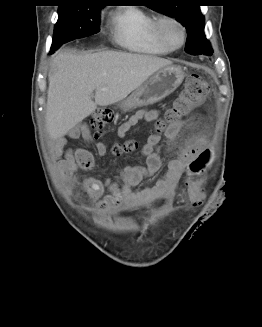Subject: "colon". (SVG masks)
I'll use <instances>...</instances> for the list:
<instances>
[{"instance_id": "5ec220e1", "label": "colon", "mask_w": 262, "mask_h": 327, "mask_svg": "<svg viewBox=\"0 0 262 327\" xmlns=\"http://www.w3.org/2000/svg\"><path fill=\"white\" fill-rule=\"evenodd\" d=\"M210 91L209 83L197 73L188 76L184 88L179 96L173 102L170 109L167 110L164 119L159 120L156 124V131L163 132L170 125L175 124L188 116L194 109L200 106L206 99ZM114 120V114L109 109L96 110L91 116V125L95 131L96 137H101L105 126ZM137 148V143L133 140L116 143L112 151L116 155L129 153ZM208 154L205 152L199 157L195 164L194 170L198 172L204 166Z\"/></svg>"}]
</instances>
